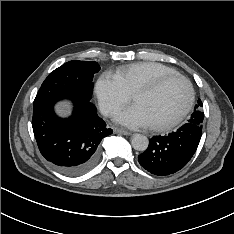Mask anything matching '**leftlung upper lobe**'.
<instances>
[{
  "label": "left lung upper lobe",
  "instance_id": "5c2ea615",
  "mask_svg": "<svg viewBox=\"0 0 234 234\" xmlns=\"http://www.w3.org/2000/svg\"><path fill=\"white\" fill-rule=\"evenodd\" d=\"M203 106L201 100H198V104L195 105L194 112L191 114L190 119L188 120V123H193L199 126H202L204 113L201 110V107Z\"/></svg>",
  "mask_w": 234,
  "mask_h": 234
}]
</instances>
